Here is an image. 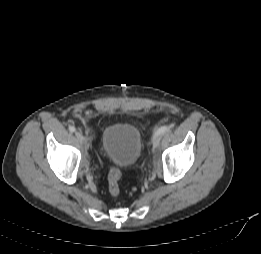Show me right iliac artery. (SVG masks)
Returning a JSON list of instances; mask_svg holds the SVG:
<instances>
[{
  "instance_id": "right-iliac-artery-1",
  "label": "right iliac artery",
  "mask_w": 261,
  "mask_h": 254,
  "mask_svg": "<svg viewBox=\"0 0 261 254\" xmlns=\"http://www.w3.org/2000/svg\"><path fill=\"white\" fill-rule=\"evenodd\" d=\"M76 129H75V127L74 126H69V131L70 132H74Z\"/></svg>"
}]
</instances>
